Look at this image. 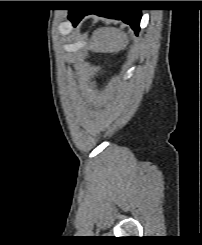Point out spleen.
Instances as JSON below:
<instances>
[{"label": "spleen", "instance_id": "3e777b00", "mask_svg": "<svg viewBox=\"0 0 202 245\" xmlns=\"http://www.w3.org/2000/svg\"><path fill=\"white\" fill-rule=\"evenodd\" d=\"M129 43L127 34L116 28H99L91 38L90 48L95 52L111 53L124 49Z\"/></svg>", "mask_w": 202, "mask_h": 245}]
</instances>
